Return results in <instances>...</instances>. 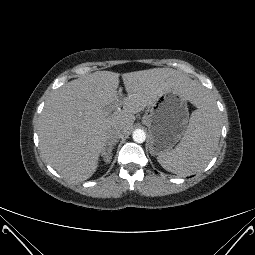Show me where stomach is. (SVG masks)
I'll return each instance as SVG.
<instances>
[{
    "label": "stomach",
    "mask_w": 255,
    "mask_h": 255,
    "mask_svg": "<svg viewBox=\"0 0 255 255\" xmlns=\"http://www.w3.org/2000/svg\"><path fill=\"white\" fill-rule=\"evenodd\" d=\"M189 118L188 98L177 88L163 91L153 103L146 125L149 129V151L160 155L170 151L184 135Z\"/></svg>",
    "instance_id": "1"
}]
</instances>
